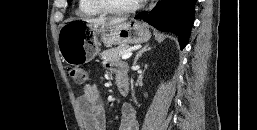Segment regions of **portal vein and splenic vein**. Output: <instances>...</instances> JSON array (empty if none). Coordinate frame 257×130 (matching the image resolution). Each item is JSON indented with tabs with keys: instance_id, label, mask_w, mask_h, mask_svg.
<instances>
[{
	"instance_id": "obj_1",
	"label": "portal vein and splenic vein",
	"mask_w": 257,
	"mask_h": 130,
	"mask_svg": "<svg viewBox=\"0 0 257 130\" xmlns=\"http://www.w3.org/2000/svg\"><path fill=\"white\" fill-rule=\"evenodd\" d=\"M131 56H132V52H130V51H125V52H123V53L121 54V58H122L123 60H126V59L130 58Z\"/></svg>"
}]
</instances>
